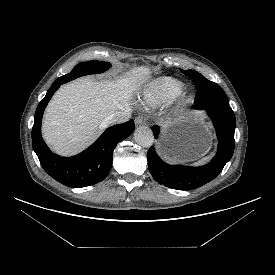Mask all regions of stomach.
Listing matches in <instances>:
<instances>
[{
    "label": "stomach",
    "instance_id": "stomach-1",
    "mask_svg": "<svg viewBox=\"0 0 275 275\" xmlns=\"http://www.w3.org/2000/svg\"><path fill=\"white\" fill-rule=\"evenodd\" d=\"M164 133L159 142L160 154L167 160H194L206 154L212 135L202 113L191 112L162 122Z\"/></svg>",
    "mask_w": 275,
    "mask_h": 275
}]
</instances>
